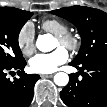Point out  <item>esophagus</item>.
Returning a JSON list of instances; mask_svg holds the SVG:
<instances>
[{
	"label": "esophagus",
	"instance_id": "34e87169",
	"mask_svg": "<svg viewBox=\"0 0 107 107\" xmlns=\"http://www.w3.org/2000/svg\"><path fill=\"white\" fill-rule=\"evenodd\" d=\"M42 78H51L53 77V74H41Z\"/></svg>",
	"mask_w": 107,
	"mask_h": 107
}]
</instances>
